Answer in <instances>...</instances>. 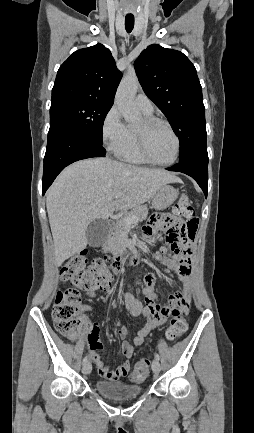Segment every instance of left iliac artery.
I'll return each mask as SVG.
<instances>
[{
	"label": "left iliac artery",
	"instance_id": "left-iliac-artery-1",
	"mask_svg": "<svg viewBox=\"0 0 254 433\" xmlns=\"http://www.w3.org/2000/svg\"><path fill=\"white\" fill-rule=\"evenodd\" d=\"M155 359L158 360V361L160 360V356H159L158 353H155Z\"/></svg>",
	"mask_w": 254,
	"mask_h": 433
}]
</instances>
